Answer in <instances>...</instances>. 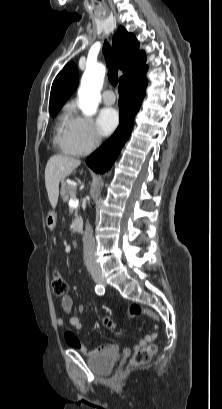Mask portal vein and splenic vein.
I'll use <instances>...</instances> for the list:
<instances>
[{
    "mask_svg": "<svg viewBox=\"0 0 222 409\" xmlns=\"http://www.w3.org/2000/svg\"><path fill=\"white\" fill-rule=\"evenodd\" d=\"M78 204H79V200L76 199V198L70 199V201H69L70 206H78Z\"/></svg>",
    "mask_w": 222,
    "mask_h": 409,
    "instance_id": "18ae733b",
    "label": "portal vein and splenic vein"
}]
</instances>
